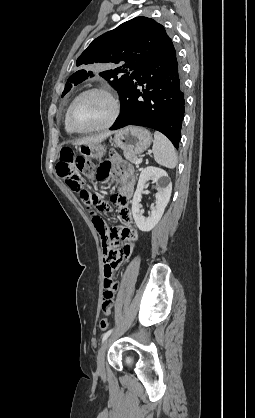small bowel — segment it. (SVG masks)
<instances>
[{
	"label": "small bowel",
	"instance_id": "small-bowel-1",
	"mask_svg": "<svg viewBox=\"0 0 255 418\" xmlns=\"http://www.w3.org/2000/svg\"><path fill=\"white\" fill-rule=\"evenodd\" d=\"M110 160L103 162L98 168V180H118L119 190L112 195L111 202L117 208L119 217L125 223L120 228L101 227L97 229L102 240L99 243L100 253L104 260V292L99 311L105 317H110L114 310L113 297L119 288V283L114 281L121 273L125 265H129L130 256H135L139 247L140 235L131 227V214L128 202L133 194L134 175L131 169L123 165L120 154L112 150Z\"/></svg>",
	"mask_w": 255,
	"mask_h": 418
}]
</instances>
